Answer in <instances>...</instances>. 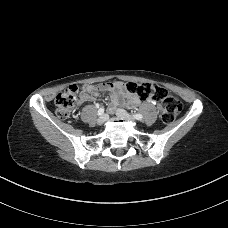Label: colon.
<instances>
[{
    "instance_id": "colon-1",
    "label": "colon",
    "mask_w": 228,
    "mask_h": 228,
    "mask_svg": "<svg viewBox=\"0 0 228 228\" xmlns=\"http://www.w3.org/2000/svg\"><path fill=\"white\" fill-rule=\"evenodd\" d=\"M125 89L129 93L137 95L142 100L150 98L153 100H161V116L165 123L173 122L182 110L180 101L171 95H166L163 89L157 85L128 82L125 85ZM78 93V86H70L56 95L55 107L56 114L59 118L67 119L72 116Z\"/></svg>"
}]
</instances>
